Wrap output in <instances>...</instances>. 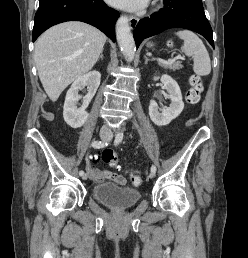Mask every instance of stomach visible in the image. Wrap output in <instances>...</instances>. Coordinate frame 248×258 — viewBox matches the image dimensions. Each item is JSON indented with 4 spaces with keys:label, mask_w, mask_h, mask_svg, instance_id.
I'll return each mask as SVG.
<instances>
[{
    "label": "stomach",
    "mask_w": 248,
    "mask_h": 258,
    "mask_svg": "<svg viewBox=\"0 0 248 258\" xmlns=\"http://www.w3.org/2000/svg\"><path fill=\"white\" fill-rule=\"evenodd\" d=\"M147 46H148V47H152V46H153V44H151V43H148V44H147Z\"/></svg>",
    "instance_id": "0dacf381"
}]
</instances>
